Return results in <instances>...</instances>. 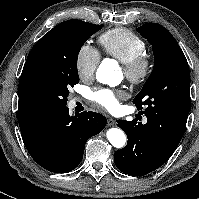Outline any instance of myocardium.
<instances>
[{
    "instance_id": "f54148a6",
    "label": "myocardium",
    "mask_w": 199,
    "mask_h": 199,
    "mask_svg": "<svg viewBox=\"0 0 199 199\" xmlns=\"http://www.w3.org/2000/svg\"><path fill=\"white\" fill-rule=\"evenodd\" d=\"M122 66L126 78L134 85L144 84L152 72V62L144 53L123 62Z\"/></svg>"
}]
</instances>
